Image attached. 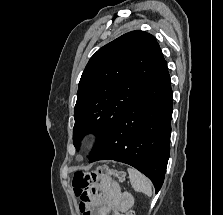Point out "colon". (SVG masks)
Returning a JSON list of instances; mask_svg holds the SVG:
<instances>
[{
    "mask_svg": "<svg viewBox=\"0 0 223 215\" xmlns=\"http://www.w3.org/2000/svg\"><path fill=\"white\" fill-rule=\"evenodd\" d=\"M109 176H113L118 180L124 179V173L122 171H117L110 169L107 166H102L98 171L95 172H76L72 180V186L75 193L80 198H83L90 186L94 184L99 178ZM127 215H135V213L133 211H129Z\"/></svg>",
    "mask_w": 223,
    "mask_h": 215,
    "instance_id": "obj_1",
    "label": "colon"
}]
</instances>
